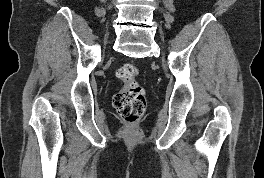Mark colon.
<instances>
[{"label": "colon", "instance_id": "colon-1", "mask_svg": "<svg viewBox=\"0 0 264 178\" xmlns=\"http://www.w3.org/2000/svg\"><path fill=\"white\" fill-rule=\"evenodd\" d=\"M138 70L126 63L118 68L116 76L124 86L113 97V105L118 114L128 123H135L144 113L146 99L144 90L137 82Z\"/></svg>", "mask_w": 264, "mask_h": 178}]
</instances>
